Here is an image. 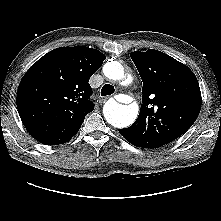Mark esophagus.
Masks as SVG:
<instances>
[{"instance_id": "esophagus-1", "label": "esophagus", "mask_w": 221, "mask_h": 221, "mask_svg": "<svg viewBox=\"0 0 221 221\" xmlns=\"http://www.w3.org/2000/svg\"><path fill=\"white\" fill-rule=\"evenodd\" d=\"M107 99H108V97H100V98L98 99V102H99V103H104Z\"/></svg>"}]
</instances>
